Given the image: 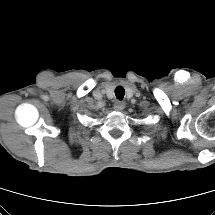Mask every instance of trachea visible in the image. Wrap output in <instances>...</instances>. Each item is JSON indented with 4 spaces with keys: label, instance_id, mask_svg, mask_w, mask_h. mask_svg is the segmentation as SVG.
Instances as JSON below:
<instances>
[{
    "label": "trachea",
    "instance_id": "obj_1",
    "mask_svg": "<svg viewBox=\"0 0 215 215\" xmlns=\"http://www.w3.org/2000/svg\"><path fill=\"white\" fill-rule=\"evenodd\" d=\"M115 95H116V98L119 99V100H122L124 98V95H125V90L122 86H118L116 89H115Z\"/></svg>",
    "mask_w": 215,
    "mask_h": 215
}]
</instances>
